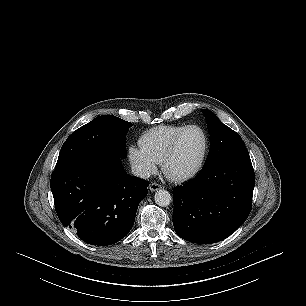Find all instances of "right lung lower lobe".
<instances>
[{
  "label": "right lung lower lobe",
  "instance_id": "obj_1",
  "mask_svg": "<svg viewBox=\"0 0 306 306\" xmlns=\"http://www.w3.org/2000/svg\"><path fill=\"white\" fill-rule=\"evenodd\" d=\"M148 185L128 175L119 157H82L55 168L51 176L60 221L97 246L114 244L128 234Z\"/></svg>",
  "mask_w": 306,
  "mask_h": 306
}]
</instances>
